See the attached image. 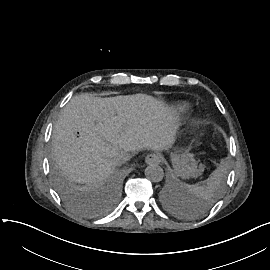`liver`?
Wrapping results in <instances>:
<instances>
[{
  "label": "liver",
  "instance_id": "liver-1",
  "mask_svg": "<svg viewBox=\"0 0 270 270\" xmlns=\"http://www.w3.org/2000/svg\"><path fill=\"white\" fill-rule=\"evenodd\" d=\"M162 109L146 95L74 96L54 125L53 157L72 181L107 180L121 164L118 151L168 148L170 127L157 121Z\"/></svg>",
  "mask_w": 270,
  "mask_h": 270
}]
</instances>
